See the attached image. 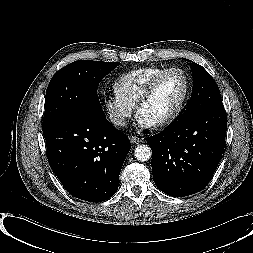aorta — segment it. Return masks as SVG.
Wrapping results in <instances>:
<instances>
[{"label":"aorta","instance_id":"762f6f07","mask_svg":"<svg viewBox=\"0 0 253 253\" xmlns=\"http://www.w3.org/2000/svg\"><path fill=\"white\" fill-rule=\"evenodd\" d=\"M152 152L148 145H138L134 150V156L139 161H147L151 158Z\"/></svg>","mask_w":253,"mask_h":253}]
</instances>
